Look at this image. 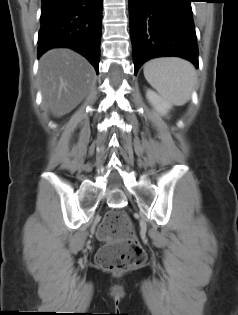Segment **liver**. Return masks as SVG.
Wrapping results in <instances>:
<instances>
[{"mask_svg":"<svg viewBox=\"0 0 238 315\" xmlns=\"http://www.w3.org/2000/svg\"><path fill=\"white\" fill-rule=\"evenodd\" d=\"M95 71L70 49L49 50L39 62V80L45 106L56 117L72 111L89 93Z\"/></svg>","mask_w":238,"mask_h":315,"instance_id":"liver-1","label":"liver"}]
</instances>
